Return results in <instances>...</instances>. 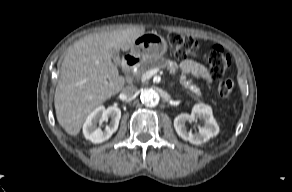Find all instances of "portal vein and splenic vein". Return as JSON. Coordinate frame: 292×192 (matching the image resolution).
<instances>
[{
  "mask_svg": "<svg viewBox=\"0 0 292 192\" xmlns=\"http://www.w3.org/2000/svg\"><path fill=\"white\" fill-rule=\"evenodd\" d=\"M159 71L158 68H154L151 70L146 71L143 75H142V79L143 80H149L152 76H154L157 72Z\"/></svg>",
  "mask_w": 292,
  "mask_h": 192,
  "instance_id": "obj_1",
  "label": "portal vein and splenic vein"
}]
</instances>
